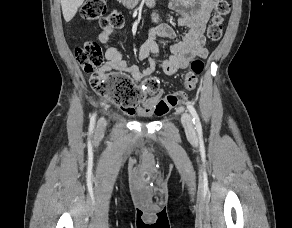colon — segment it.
Segmentation results:
<instances>
[{"mask_svg":"<svg viewBox=\"0 0 292 228\" xmlns=\"http://www.w3.org/2000/svg\"><path fill=\"white\" fill-rule=\"evenodd\" d=\"M230 9V3L227 0L217 1L214 15L207 29V37L211 41H218L221 38L223 20L229 14ZM81 16L89 21L99 20L103 29H118L124 24L121 13L107 12L106 0H86L81 8ZM75 55L83 69L92 73L90 84L94 92L123 108H133L144 99L146 93L152 94L158 90V81L154 77H149L142 89L122 72L101 73L103 53L100 45L95 41H86L76 49ZM203 68L204 64L201 59H193L189 70L183 77L184 90L168 94L159 100L155 108L156 114L164 115L185 102L187 92L195 88L197 77Z\"/></svg>","mask_w":292,"mask_h":228,"instance_id":"obj_1","label":"colon"}]
</instances>
